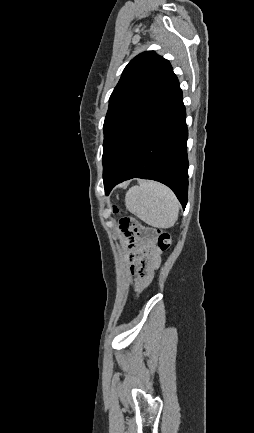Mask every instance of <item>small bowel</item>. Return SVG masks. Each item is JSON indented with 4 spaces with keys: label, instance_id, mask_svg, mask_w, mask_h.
Masks as SVG:
<instances>
[{
    "label": "small bowel",
    "instance_id": "c3829d8e",
    "mask_svg": "<svg viewBox=\"0 0 254 433\" xmlns=\"http://www.w3.org/2000/svg\"><path fill=\"white\" fill-rule=\"evenodd\" d=\"M130 272L135 276L136 287L148 285L154 270L160 264V251L154 244V235H142L138 244V256L132 259Z\"/></svg>",
    "mask_w": 254,
    "mask_h": 433
}]
</instances>
